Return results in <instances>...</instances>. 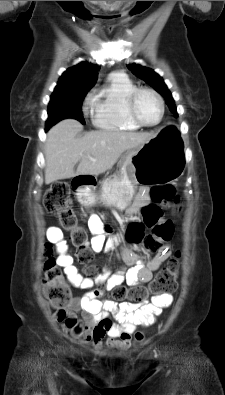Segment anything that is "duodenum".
Returning a JSON list of instances; mask_svg holds the SVG:
<instances>
[{
    "label": "duodenum",
    "mask_w": 225,
    "mask_h": 395,
    "mask_svg": "<svg viewBox=\"0 0 225 395\" xmlns=\"http://www.w3.org/2000/svg\"><path fill=\"white\" fill-rule=\"evenodd\" d=\"M78 182H79V185H88L89 184L85 177H79Z\"/></svg>",
    "instance_id": "1"
}]
</instances>
